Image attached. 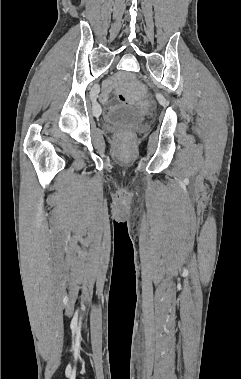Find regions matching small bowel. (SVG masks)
I'll list each match as a JSON object with an SVG mask.
<instances>
[{
    "label": "small bowel",
    "instance_id": "1",
    "mask_svg": "<svg viewBox=\"0 0 241 379\" xmlns=\"http://www.w3.org/2000/svg\"><path fill=\"white\" fill-rule=\"evenodd\" d=\"M114 89V83L111 82V81H108L104 84L103 88H102V91L100 93V101L101 103L105 104L108 102L109 100V95L110 93L112 92V90ZM129 100L130 101H133L135 98L134 96H128Z\"/></svg>",
    "mask_w": 241,
    "mask_h": 379
}]
</instances>
